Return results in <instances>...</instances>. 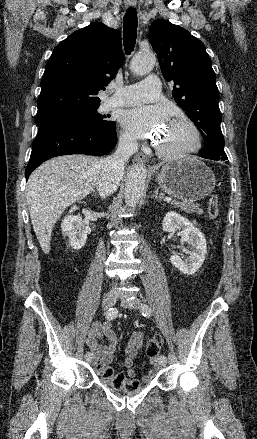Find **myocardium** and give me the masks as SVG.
<instances>
[{
	"mask_svg": "<svg viewBox=\"0 0 257 439\" xmlns=\"http://www.w3.org/2000/svg\"><path fill=\"white\" fill-rule=\"evenodd\" d=\"M170 124L182 125L189 128L193 137V145L190 148L181 151H168L157 145L156 146L157 154L161 158L166 160H180V159L188 158L198 153L202 147V137L198 127L192 121L185 118L173 119L170 121Z\"/></svg>",
	"mask_w": 257,
	"mask_h": 439,
	"instance_id": "1",
	"label": "myocardium"
}]
</instances>
